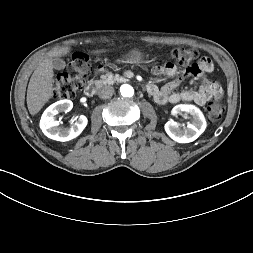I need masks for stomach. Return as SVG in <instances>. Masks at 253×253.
<instances>
[{
	"instance_id": "stomach-1",
	"label": "stomach",
	"mask_w": 253,
	"mask_h": 253,
	"mask_svg": "<svg viewBox=\"0 0 253 253\" xmlns=\"http://www.w3.org/2000/svg\"><path fill=\"white\" fill-rule=\"evenodd\" d=\"M122 60L130 64H140L144 60V55L141 51L134 49L122 56Z\"/></svg>"
}]
</instances>
